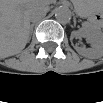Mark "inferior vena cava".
I'll use <instances>...</instances> for the list:
<instances>
[{
	"label": "inferior vena cava",
	"instance_id": "1",
	"mask_svg": "<svg viewBox=\"0 0 103 103\" xmlns=\"http://www.w3.org/2000/svg\"><path fill=\"white\" fill-rule=\"evenodd\" d=\"M46 15V13L43 10H36V11H31L30 12V20L35 22L38 20H41L44 16Z\"/></svg>",
	"mask_w": 103,
	"mask_h": 103
}]
</instances>
